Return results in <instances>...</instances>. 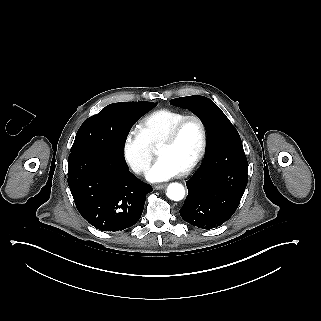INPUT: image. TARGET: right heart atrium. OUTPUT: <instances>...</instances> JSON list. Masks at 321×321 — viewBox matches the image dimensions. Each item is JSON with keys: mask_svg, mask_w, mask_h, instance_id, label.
<instances>
[{"mask_svg": "<svg viewBox=\"0 0 321 321\" xmlns=\"http://www.w3.org/2000/svg\"><path fill=\"white\" fill-rule=\"evenodd\" d=\"M148 145L149 141L139 127L130 128L124 136L123 158L135 174H143L149 166Z\"/></svg>", "mask_w": 321, "mask_h": 321, "instance_id": "right-heart-atrium-1", "label": "right heart atrium"}]
</instances>
